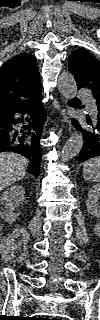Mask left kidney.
<instances>
[{"label": "left kidney", "instance_id": "5707ae66", "mask_svg": "<svg viewBox=\"0 0 100 320\" xmlns=\"http://www.w3.org/2000/svg\"><path fill=\"white\" fill-rule=\"evenodd\" d=\"M99 199H100V186L94 185L88 191L86 206H87L88 213L96 217L100 216Z\"/></svg>", "mask_w": 100, "mask_h": 320}]
</instances>
